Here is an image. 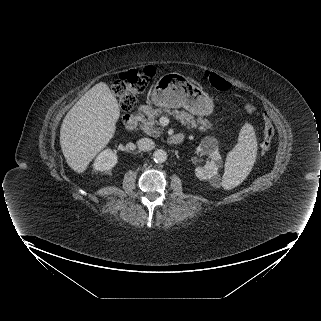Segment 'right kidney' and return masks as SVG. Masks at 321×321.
Returning a JSON list of instances; mask_svg holds the SVG:
<instances>
[{"instance_id": "obj_1", "label": "right kidney", "mask_w": 321, "mask_h": 321, "mask_svg": "<svg viewBox=\"0 0 321 321\" xmlns=\"http://www.w3.org/2000/svg\"><path fill=\"white\" fill-rule=\"evenodd\" d=\"M117 163V155L111 150H103L96 158L93 168L95 171H109Z\"/></svg>"}]
</instances>
